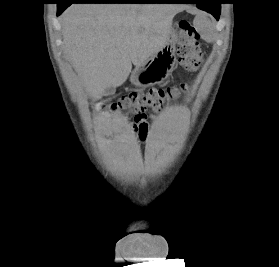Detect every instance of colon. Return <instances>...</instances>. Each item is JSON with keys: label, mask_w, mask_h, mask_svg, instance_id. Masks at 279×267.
I'll return each mask as SVG.
<instances>
[{"label": "colon", "mask_w": 279, "mask_h": 267, "mask_svg": "<svg viewBox=\"0 0 279 267\" xmlns=\"http://www.w3.org/2000/svg\"><path fill=\"white\" fill-rule=\"evenodd\" d=\"M177 51L179 62L184 68L195 70L202 64L200 35L189 20L179 22ZM186 89L187 85L181 84L166 88H153L148 91H133L111 103L110 110L113 112L128 110L134 120L139 119L146 116L148 110L160 111L168 100Z\"/></svg>", "instance_id": "5ec220e1"}]
</instances>
